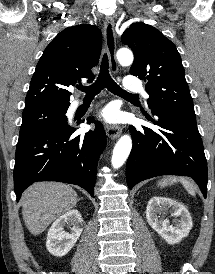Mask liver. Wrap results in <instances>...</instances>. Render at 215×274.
I'll use <instances>...</instances> for the list:
<instances>
[{
  "mask_svg": "<svg viewBox=\"0 0 215 274\" xmlns=\"http://www.w3.org/2000/svg\"><path fill=\"white\" fill-rule=\"evenodd\" d=\"M77 193L57 182H38L22 195V216L33 235L41 234L55 219L76 206Z\"/></svg>",
  "mask_w": 215,
  "mask_h": 274,
  "instance_id": "obj_1",
  "label": "liver"
}]
</instances>
